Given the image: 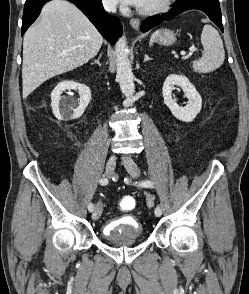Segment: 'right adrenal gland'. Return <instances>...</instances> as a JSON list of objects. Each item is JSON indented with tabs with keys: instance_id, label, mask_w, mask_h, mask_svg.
I'll use <instances>...</instances> for the list:
<instances>
[{
	"instance_id": "2a0ac1e0",
	"label": "right adrenal gland",
	"mask_w": 249,
	"mask_h": 294,
	"mask_svg": "<svg viewBox=\"0 0 249 294\" xmlns=\"http://www.w3.org/2000/svg\"><path fill=\"white\" fill-rule=\"evenodd\" d=\"M102 57V53L99 54V57L97 60H95L93 63H91L92 65L93 64H98L99 66H101V63H100V58Z\"/></svg>"
}]
</instances>
